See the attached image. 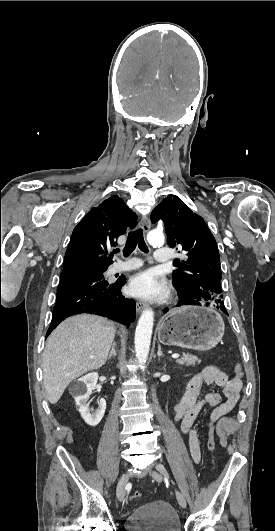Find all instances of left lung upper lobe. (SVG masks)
<instances>
[{
	"label": "left lung upper lobe",
	"mask_w": 275,
	"mask_h": 531,
	"mask_svg": "<svg viewBox=\"0 0 275 531\" xmlns=\"http://www.w3.org/2000/svg\"><path fill=\"white\" fill-rule=\"evenodd\" d=\"M162 220L171 248L185 258L177 259L172 274L178 305H212L226 311L221 295L220 256L214 236L203 218L176 195L167 196L151 214V222Z\"/></svg>",
	"instance_id": "left-lung-upper-lobe-1"
}]
</instances>
